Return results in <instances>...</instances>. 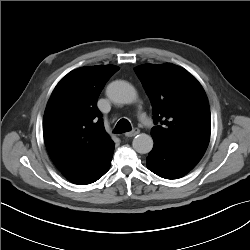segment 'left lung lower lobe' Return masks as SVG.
I'll return each instance as SVG.
<instances>
[{
  "label": "left lung lower lobe",
  "instance_id": "0a47b994",
  "mask_svg": "<svg viewBox=\"0 0 250 250\" xmlns=\"http://www.w3.org/2000/svg\"><path fill=\"white\" fill-rule=\"evenodd\" d=\"M154 147L147 157V168L165 179H177L188 173L202 158L205 150L169 146L153 139Z\"/></svg>",
  "mask_w": 250,
  "mask_h": 250
}]
</instances>
